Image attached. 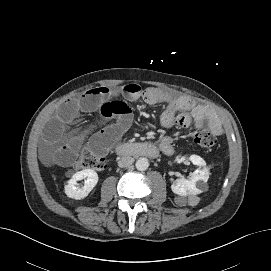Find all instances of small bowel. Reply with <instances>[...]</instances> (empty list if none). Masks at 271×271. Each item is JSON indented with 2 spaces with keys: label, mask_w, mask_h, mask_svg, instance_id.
Returning <instances> with one entry per match:
<instances>
[{
  "label": "small bowel",
  "mask_w": 271,
  "mask_h": 271,
  "mask_svg": "<svg viewBox=\"0 0 271 271\" xmlns=\"http://www.w3.org/2000/svg\"><path fill=\"white\" fill-rule=\"evenodd\" d=\"M122 96L127 101L144 100L148 104H165L166 109L160 117V125L170 128L177 125L187 128L193 125L197 130L207 123L210 130L218 135L222 131L221 123L214 110L198 104L192 97L162 91L155 87L142 88L131 83L119 90L108 87H95L77 97L64 101L45 127L47 143L46 154L57 165L69 166L78 154L86 132H69L67 126L81 113H96L102 120L113 123L92 134L90 148L100 155H105L112 143L130 126L132 111L119 100ZM160 148L166 155H172V138L165 136L160 141Z\"/></svg>",
  "instance_id": "c3829d8e"
}]
</instances>
